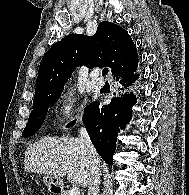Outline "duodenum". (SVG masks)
I'll return each instance as SVG.
<instances>
[{
    "mask_svg": "<svg viewBox=\"0 0 189 195\" xmlns=\"http://www.w3.org/2000/svg\"><path fill=\"white\" fill-rule=\"evenodd\" d=\"M52 190L54 193H59L60 188L58 186H53Z\"/></svg>",
    "mask_w": 189,
    "mask_h": 195,
    "instance_id": "410a0bca",
    "label": "duodenum"
}]
</instances>
